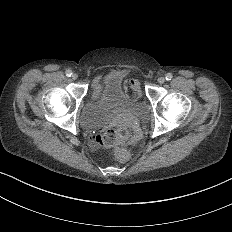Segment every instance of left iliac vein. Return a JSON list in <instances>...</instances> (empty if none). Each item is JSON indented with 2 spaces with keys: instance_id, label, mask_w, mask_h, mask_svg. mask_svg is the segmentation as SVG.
I'll list each match as a JSON object with an SVG mask.
<instances>
[{
  "instance_id": "obj_1",
  "label": "left iliac vein",
  "mask_w": 232,
  "mask_h": 232,
  "mask_svg": "<svg viewBox=\"0 0 232 232\" xmlns=\"http://www.w3.org/2000/svg\"><path fill=\"white\" fill-rule=\"evenodd\" d=\"M158 83H159V84H164V83H165V78H164L163 76H160V77L158 78Z\"/></svg>"
}]
</instances>
